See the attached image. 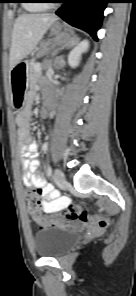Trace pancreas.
<instances>
[{"instance_id":"cf45deb5","label":"pancreas","mask_w":136,"mask_h":296,"mask_svg":"<svg viewBox=\"0 0 136 296\" xmlns=\"http://www.w3.org/2000/svg\"><path fill=\"white\" fill-rule=\"evenodd\" d=\"M40 55L43 54V52H40L39 53ZM39 65L38 63H35L34 61H31L30 64H29V71H28V74L30 77H38L39 76V72L36 71L35 67Z\"/></svg>"}]
</instances>
